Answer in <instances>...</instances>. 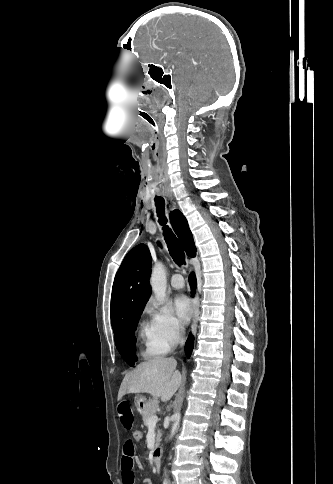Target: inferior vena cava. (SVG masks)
<instances>
[{
	"label": "inferior vena cava",
	"mask_w": 333,
	"mask_h": 484,
	"mask_svg": "<svg viewBox=\"0 0 333 484\" xmlns=\"http://www.w3.org/2000/svg\"><path fill=\"white\" fill-rule=\"evenodd\" d=\"M180 331H181V330H178V339H179V343H180V344H183V343H184V338H183V336L181 335ZM167 484H170V482H169V483H167Z\"/></svg>",
	"instance_id": "1"
}]
</instances>
